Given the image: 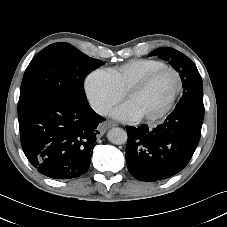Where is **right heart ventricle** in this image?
<instances>
[{"mask_svg":"<svg viewBox=\"0 0 227 227\" xmlns=\"http://www.w3.org/2000/svg\"><path fill=\"white\" fill-rule=\"evenodd\" d=\"M166 64L156 59H133L120 66L105 69L121 93Z\"/></svg>","mask_w":227,"mask_h":227,"instance_id":"obj_1","label":"right heart ventricle"}]
</instances>
